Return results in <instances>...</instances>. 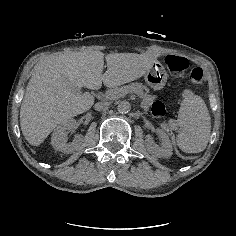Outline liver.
<instances>
[{"mask_svg": "<svg viewBox=\"0 0 236 236\" xmlns=\"http://www.w3.org/2000/svg\"><path fill=\"white\" fill-rule=\"evenodd\" d=\"M104 57L107 70L103 73ZM143 55L85 49L55 53L41 59L26 87L20 107V126L25 139L39 146L48 135L67 120L88 111L94 104L89 92L120 86L145 74Z\"/></svg>", "mask_w": 236, "mask_h": 236, "instance_id": "obj_1", "label": "liver"}]
</instances>
